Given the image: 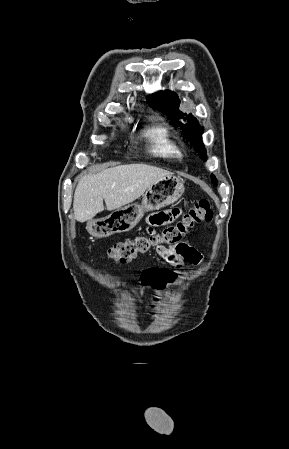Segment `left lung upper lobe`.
I'll return each instance as SVG.
<instances>
[{
	"label": "left lung upper lobe",
	"mask_w": 289,
	"mask_h": 449,
	"mask_svg": "<svg viewBox=\"0 0 289 449\" xmlns=\"http://www.w3.org/2000/svg\"><path fill=\"white\" fill-rule=\"evenodd\" d=\"M147 103L154 109L161 111L171 119L173 126H181L185 132L184 138L188 139L199 152L202 159L206 160V150L202 143L203 127L199 125L197 119L191 114L187 115L179 110L180 100L176 93L165 90L150 95ZM212 183L216 185V178L211 175Z\"/></svg>",
	"instance_id": "left-lung-upper-lobe-1"
}]
</instances>
